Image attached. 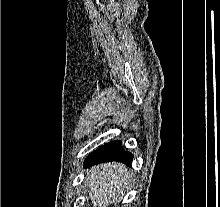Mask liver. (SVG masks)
I'll list each match as a JSON object with an SVG mask.
<instances>
[{"mask_svg": "<svg viewBox=\"0 0 220 207\" xmlns=\"http://www.w3.org/2000/svg\"><path fill=\"white\" fill-rule=\"evenodd\" d=\"M132 174L121 163L100 164L89 170L86 183L93 207H108L120 199V194L130 184Z\"/></svg>", "mask_w": 220, "mask_h": 207, "instance_id": "obj_1", "label": "liver"}]
</instances>
